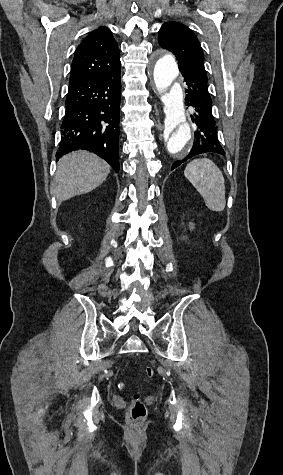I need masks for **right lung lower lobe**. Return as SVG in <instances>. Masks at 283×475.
I'll list each match as a JSON object with an SVG mask.
<instances>
[{"mask_svg":"<svg viewBox=\"0 0 283 475\" xmlns=\"http://www.w3.org/2000/svg\"><path fill=\"white\" fill-rule=\"evenodd\" d=\"M120 71L69 81L57 159L84 149L119 171Z\"/></svg>","mask_w":283,"mask_h":475,"instance_id":"right-lung-lower-lobe-1","label":"right lung lower lobe"}]
</instances>
